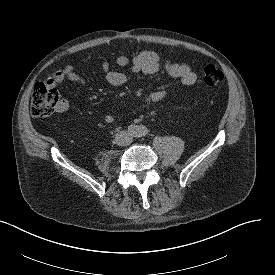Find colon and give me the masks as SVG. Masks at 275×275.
I'll list each match as a JSON object with an SVG mask.
<instances>
[{
  "label": "colon",
  "instance_id": "1",
  "mask_svg": "<svg viewBox=\"0 0 275 275\" xmlns=\"http://www.w3.org/2000/svg\"><path fill=\"white\" fill-rule=\"evenodd\" d=\"M204 83L208 88H218L223 80V72L214 65H207L203 69ZM57 90L47 82H37L33 86L31 95V113L38 118L50 117L60 105Z\"/></svg>",
  "mask_w": 275,
  "mask_h": 275
}]
</instances>
